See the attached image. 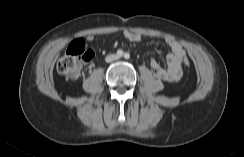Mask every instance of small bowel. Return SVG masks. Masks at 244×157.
I'll return each mask as SVG.
<instances>
[{
  "label": "small bowel",
  "instance_id": "c3829d8e",
  "mask_svg": "<svg viewBox=\"0 0 244 157\" xmlns=\"http://www.w3.org/2000/svg\"><path fill=\"white\" fill-rule=\"evenodd\" d=\"M124 37L130 42L141 41V35L129 31L124 32ZM88 41L93 40V36H88ZM165 44L170 48L165 66H162L157 60L152 59L150 62L154 76L166 82H176L182 76V61L185 51L182 46L172 38H166Z\"/></svg>",
  "mask_w": 244,
  "mask_h": 157
}]
</instances>
